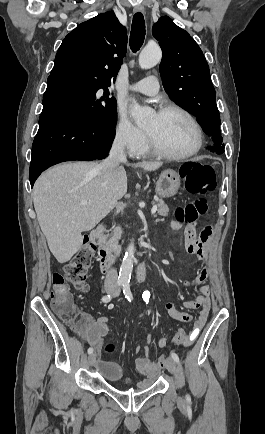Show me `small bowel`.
<instances>
[{
    "mask_svg": "<svg viewBox=\"0 0 265 434\" xmlns=\"http://www.w3.org/2000/svg\"><path fill=\"white\" fill-rule=\"evenodd\" d=\"M181 227V224L177 221L171 222V228L173 230H177ZM186 235V246L185 252L188 255H195L199 259H204L205 257V246L210 238L203 239L201 236H197L194 228L192 226H188L185 230ZM208 278V270L206 268L201 269L197 276L191 280L185 282L186 285L192 286L196 289L197 295L195 299L190 301H185L183 306L188 310H197L198 313L194 316L190 313L183 312L178 310L173 303L168 302L165 305V312L174 320L180 322H193L192 329L187 332L188 340L184 347L190 346L195 339L200 334L203 329L209 312H210V288L205 284V281ZM78 311V310H77ZM80 313L81 324L79 326H75L73 324L72 327L75 331L81 336V338L92 348L96 349V353H99V347L102 344L104 336L108 331V318L106 316H100L98 318H94L89 313L85 311H78ZM136 315H139L141 312L136 310L134 312ZM183 330V329H181ZM158 340L160 347H164L166 345V341L164 338L159 336H152L148 338V341ZM153 352L147 347L144 348V355L139 357L136 360V366L140 373L145 375L147 378H141L140 385L141 387H150L151 382L157 381L156 376V366L153 361Z\"/></svg>",
    "mask_w": 265,
    "mask_h": 434,
    "instance_id": "obj_1",
    "label": "small bowel"
}]
</instances>
